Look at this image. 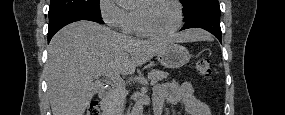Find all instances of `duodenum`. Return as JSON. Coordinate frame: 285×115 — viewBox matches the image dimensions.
Segmentation results:
<instances>
[{"instance_id":"410a0bca","label":"duodenum","mask_w":285,"mask_h":115,"mask_svg":"<svg viewBox=\"0 0 285 115\" xmlns=\"http://www.w3.org/2000/svg\"><path fill=\"white\" fill-rule=\"evenodd\" d=\"M99 96H100L102 101H105L106 99H108L109 89L106 87L101 88V90L99 91Z\"/></svg>"}]
</instances>
